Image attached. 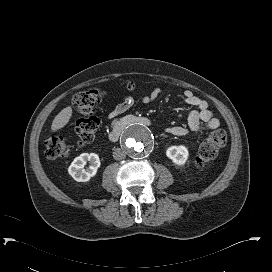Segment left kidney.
<instances>
[{"label":"left kidney","instance_id":"5707ae66","mask_svg":"<svg viewBox=\"0 0 272 272\" xmlns=\"http://www.w3.org/2000/svg\"><path fill=\"white\" fill-rule=\"evenodd\" d=\"M166 156L172 160L175 165H184L188 161L189 152L183 145L170 146L166 150Z\"/></svg>","mask_w":272,"mask_h":272}]
</instances>
